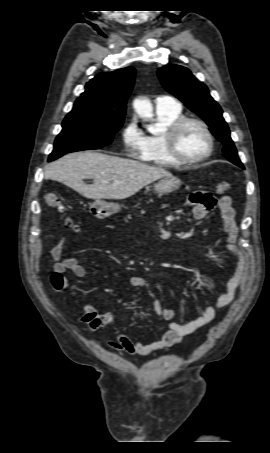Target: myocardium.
<instances>
[{"label":"myocardium","instance_id":"obj_1","mask_svg":"<svg viewBox=\"0 0 270 453\" xmlns=\"http://www.w3.org/2000/svg\"><path fill=\"white\" fill-rule=\"evenodd\" d=\"M188 124L198 125L205 133L208 141L207 150L204 154L197 158L184 157L178 151V137L182 129ZM164 146L168 155L179 164H198L208 159L214 150V137L208 125L201 119L195 117H181L174 121L164 133Z\"/></svg>","mask_w":270,"mask_h":453}]
</instances>
